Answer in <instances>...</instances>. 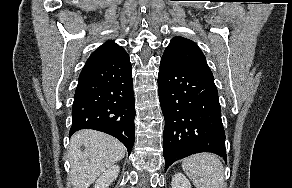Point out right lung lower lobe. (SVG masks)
I'll return each instance as SVG.
<instances>
[{
	"mask_svg": "<svg viewBox=\"0 0 292 188\" xmlns=\"http://www.w3.org/2000/svg\"><path fill=\"white\" fill-rule=\"evenodd\" d=\"M129 55L87 60L75 91L70 136L94 129L119 139L131 153L135 140V108Z\"/></svg>",
	"mask_w": 292,
	"mask_h": 188,
	"instance_id": "98d812e1",
	"label": "right lung lower lobe"
}]
</instances>
